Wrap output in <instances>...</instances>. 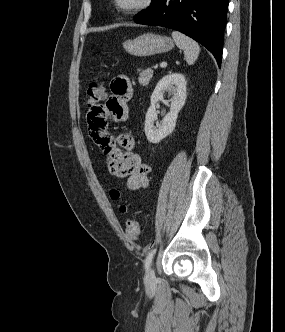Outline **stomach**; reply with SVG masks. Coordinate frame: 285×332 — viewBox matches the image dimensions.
Returning <instances> with one entry per match:
<instances>
[{
    "mask_svg": "<svg viewBox=\"0 0 285 332\" xmlns=\"http://www.w3.org/2000/svg\"><path fill=\"white\" fill-rule=\"evenodd\" d=\"M123 47L134 56L146 57L168 52L174 47V43L167 36L146 33L133 40L125 41Z\"/></svg>",
    "mask_w": 285,
    "mask_h": 332,
    "instance_id": "stomach-1",
    "label": "stomach"
}]
</instances>
